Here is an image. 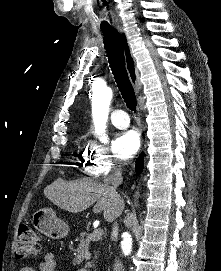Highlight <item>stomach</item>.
<instances>
[{
  "label": "stomach",
  "instance_id": "0dacf381",
  "mask_svg": "<svg viewBox=\"0 0 221 271\" xmlns=\"http://www.w3.org/2000/svg\"><path fill=\"white\" fill-rule=\"evenodd\" d=\"M32 223L36 229H39L47 237H52V239H57V237L69 233L68 225L57 219L53 209H38L32 215Z\"/></svg>",
  "mask_w": 221,
  "mask_h": 271
}]
</instances>
